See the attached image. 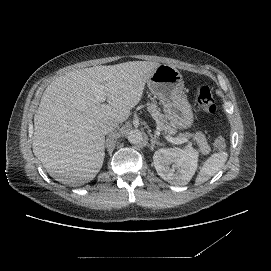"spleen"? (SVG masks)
Listing matches in <instances>:
<instances>
[{"mask_svg":"<svg viewBox=\"0 0 271 271\" xmlns=\"http://www.w3.org/2000/svg\"><path fill=\"white\" fill-rule=\"evenodd\" d=\"M228 154L226 152L214 153L209 157L200 169L195 185H201L214 176L226 163Z\"/></svg>","mask_w":271,"mask_h":271,"instance_id":"3e777b00","label":"spleen"}]
</instances>
